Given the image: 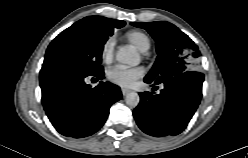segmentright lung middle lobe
Here are the masks:
<instances>
[{
  "label": "right lung middle lobe",
  "instance_id": "dd1d6c3e",
  "mask_svg": "<svg viewBox=\"0 0 248 158\" xmlns=\"http://www.w3.org/2000/svg\"><path fill=\"white\" fill-rule=\"evenodd\" d=\"M110 33L99 32L82 19L61 32L48 46L42 69L62 68L93 74L103 70L101 57Z\"/></svg>",
  "mask_w": 248,
  "mask_h": 158
}]
</instances>
